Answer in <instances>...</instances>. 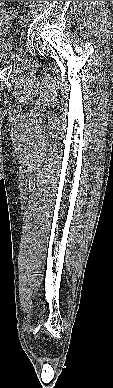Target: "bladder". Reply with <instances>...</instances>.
Returning a JSON list of instances; mask_svg holds the SVG:
<instances>
[{
	"label": "bladder",
	"mask_w": 113,
	"mask_h": 388,
	"mask_svg": "<svg viewBox=\"0 0 113 388\" xmlns=\"http://www.w3.org/2000/svg\"><path fill=\"white\" fill-rule=\"evenodd\" d=\"M0 20V32L7 31L10 27V22L7 15H2ZM13 52V45L10 41L0 39V60L8 58Z\"/></svg>",
	"instance_id": "bladder-1"
}]
</instances>
